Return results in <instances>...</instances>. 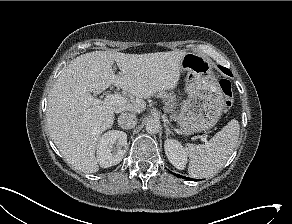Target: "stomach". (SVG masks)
Here are the masks:
<instances>
[{
  "label": "stomach",
  "mask_w": 292,
  "mask_h": 224,
  "mask_svg": "<svg viewBox=\"0 0 292 224\" xmlns=\"http://www.w3.org/2000/svg\"><path fill=\"white\" fill-rule=\"evenodd\" d=\"M212 68L209 58L196 53H185L180 61L188 98L176 119L185 135L210 129L222 114L224 96Z\"/></svg>",
  "instance_id": "0dacf381"
}]
</instances>
